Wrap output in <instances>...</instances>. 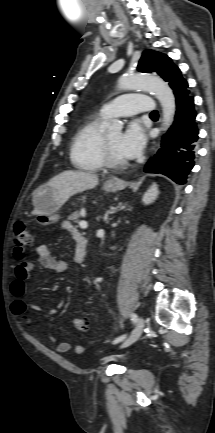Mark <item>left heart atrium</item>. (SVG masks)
<instances>
[{
    "label": "left heart atrium",
    "instance_id": "39dd6f15",
    "mask_svg": "<svg viewBox=\"0 0 215 433\" xmlns=\"http://www.w3.org/2000/svg\"><path fill=\"white\" fill-rule=\"evenodd\" d=\"M145 141L146 136L141 125L131 122L120 136L118 151L124 158H134L141 153Z\"/></svg>",
    "mask_w": 215,
    "mask_h": 433
}]
</instances>
